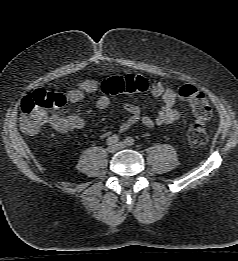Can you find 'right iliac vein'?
<instances>
[{"label": "right iliac vein", "instance_id": "1", "mask_svg": "<svg viewBox=\"0 0 238 261\" xmlns=\"http://www.w3.org/2000/svg\"><path fill=\"white\" fill-rule=\"evenodd\" d=\"M108 152L110 153H115L117 150H118V146L117 145H110L108 148H107Z\"/></svg>", "mask_w": 238, "mask_h": 261}]
</instances>
